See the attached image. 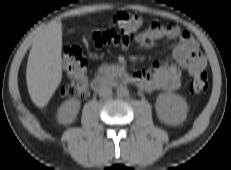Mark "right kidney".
<instances>
[{
	"mask_svg": "<svg viewBox=\"0 0 231 170\" xmlns=\"http://www.w3.org/2000/svg\"><path fill=\"white\" fill-rule=\"evenodd\" d=\"M80 109V101L78 99L72 98L65 101L59 108L58 111V121L62 124L72 123Z\"/></svg>",
	"mask_w": 231,
	"mask_h": 170,
	"instance_id": "ca27d5eb",
	"label": "right kidney"
}]
</instances>
